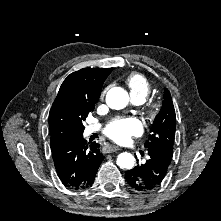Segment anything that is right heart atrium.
Segmentation results:
<instances>
[{
    "label": "right heart atrium",
    "mask_w": 221,
    "mask_h": 221,
    "mask_svg": "<svg viewBox=\"0 0 221 221\" xmlns=\"http://www.w3.org/2000/svg\"><path fill=\"white\" fill-rule=\"evenodd\" d=\"M106 91H107V88H105V89H103V90H102V92H101V98H103V97H104V95H105Z\"/></svg>",
    "instance_id": "1"
}]
</instances>
